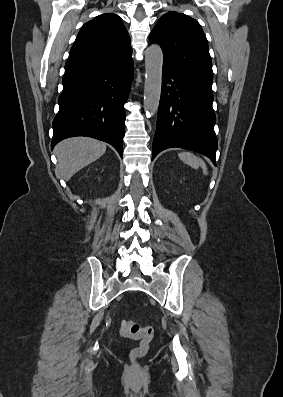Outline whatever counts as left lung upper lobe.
<instances>
[{"instance_id":"left-lung-upper-lobe-1","label":"left lung upper lobe","mask_w":283,"mask_h":397,"mask_svg":"<svg viewBox=\"0 0 283 397\" xmlns=\"http://www.w3.org/2000/svg\"><path fill=\"white\" fill-rule=\"evenodd\" d=\"M149 40L158 43L164 61L212 86V60L201 25L188 15L170 11L153 28Z\"/></svg>"}]
</instances>
